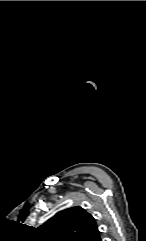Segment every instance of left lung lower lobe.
<instances>
[{"label":"left lung lower lobe","instance_id":"left-lung-lower-lobe-1","mask_svg":"<svg viewBox=\"0 0 146 241\" xmlns=\"http://www.w3.org/2000/svg\"><path fill=\"white\" fill-rule=\"evenodd\" d=\"M89 241H102L100 237V233L92 237Z\"/></svg>","mask_w":146,"mask_h":241}]
</instances>
